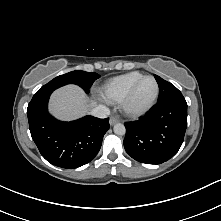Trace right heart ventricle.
<instances>
[{
  "instance_id": "e07e8e85",
  "label": "right heart ventricle",
  "mask_w": 221,
  "mask_h": 221,
  "mask_svg": "<svg viewBox=\"0 0 221 221\" xmlns=\"http://www.w3.org/2000/svg\"><path fill=\"white\" fill-rule=\"evenodd\" d=\"M143 76L137 71L116 76L102 86L101 94L108 101H122L133 84Z\"/></svg>"
}]
</instances>
